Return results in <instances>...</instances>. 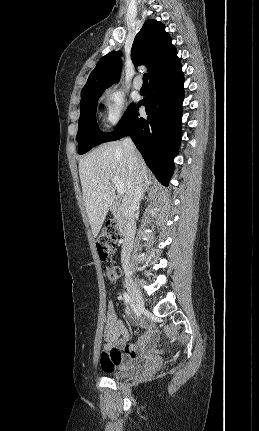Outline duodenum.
Returning <instances> with one entry per match:
<instances>
[{
  "mask_svg": "<svg viewBox=\"0 0 259 431\" xmlns=\"http://www.w3.org/2000/svg\"><path fill=\"white\" fill-rule=\"evenodd\" d=\"M112 210L117 218V222L120 229V238L119 242L122 243L126 239L129 229V215L126 207L123 203L116 201L113 204Z\"/></svg>",
  "mask_w": 259,
  "mask_h": 431,
  "instance_id": "duodenum-1",
  "label": "duodenum"
}]
</instances>
